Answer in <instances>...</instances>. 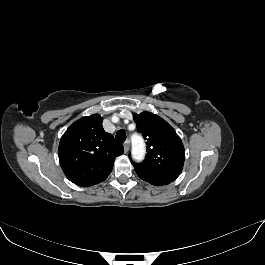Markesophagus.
<instances>
[{
	"label": "esophagus",
	"instance_id": "esophagus-1",
	"mask_svg": "<svg viewBox=\"0 0 265 265\" xmlns=\"http://www.w3.org/2000/svg\"><path fill=\"white\" fill-rule=\"evenodd\" d=\"M129 147H130V143H129V141L127 140V141L124 143V150H125V152H128Z\"/></svg>",
	"mask_w": 265,
	"mask_h": 265
}]
</instances>
